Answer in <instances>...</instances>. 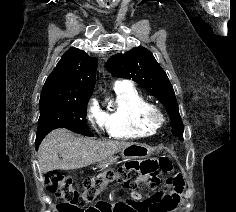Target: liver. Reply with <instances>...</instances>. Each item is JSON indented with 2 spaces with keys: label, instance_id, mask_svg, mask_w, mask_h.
Wrapping results in <instances>:
<instances>
[{
  "label": "liver",
  "instance_id": "obj_1",
  "mask_svg": "<svg viewBox=\"0 0 236 212\" xmlns=\"http://www.w3.org/2000/svg\"><path fill=\"white\" fill-rule=\"evenodd\" d=\"M131 144L133 143L75 137L66 129H56L41 142L38 163L43 172L79 169L106 160Z\"/></svg>",
  "mask_w": 236,
  "mask_h": 212
}]
</instances>
